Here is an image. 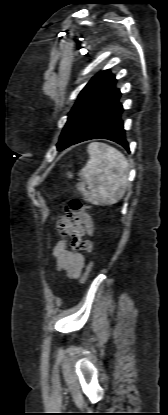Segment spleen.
<instances>
[{"label":"spleen","instance_id":"obj_1","mask_svg":"<svg viewBox=\"0 0 168 415\" xmlns=\"http://www.w3.org/2000/svg\"><path fill=\"white\" fill-rule=\"evenodd\" d=\"M88 154L89 160L78 174L81 182L77 183V189L92 203H117L128 184V161L114 147L99 142L88 146Z\"/></svg>","mask_w":168,"mask_h":415}]
</instances>
